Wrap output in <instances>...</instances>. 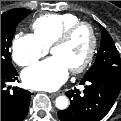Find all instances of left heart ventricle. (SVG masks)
I'll list each match as a JSON object with an SVG mask.
<instances>
[{"instance_id":"obj_1","label":"left heart ventricle","mask_w":121,"mask_h":121,"mask_svg":"<svg viewBox=\"0 0 121 121\" xmlns=\"http://www.w3.org/2000/svg\"><path fill=\"white\" fill-rule=\"evenodd\" d=\"M91 38L86 28L79 29L65 44L51 50L52 55L64 60L69 69L80 64L87 55Z\"/></svg>"}]
</instances>
